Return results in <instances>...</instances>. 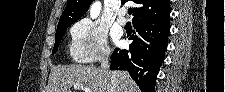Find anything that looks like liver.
Returning a JSON list of instances; mask_svg holds the SVG:
<instances>
[{"mask_svg":"<svg viewBox=\"0 0 225 92\" xmlns=\"http://www.w3.org/2000/svg\"><path fill=\"white\" fill-rule=\"evenodd\" d=\"M114 73L117 84L113 89L110 73L102 69L82 65L55 67L49 75L47 92H71V87L75 84L85 85L91 92H138V87L127 72Z\"/></svg>","mask_w":225,"mask_h":92,"instance_id":"1","label":"liver"}]
</instances>
